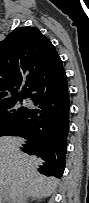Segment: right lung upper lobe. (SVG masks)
I'll use <instances>...</instances> for the list:
<instances>
[{"instance_id": "right-lung-upper-lobe-1", "label": "right lung upper lobe", "mask_w": 89, "mask_h": 203, "mask_svg": "<svg viewBox=\"0 0 89 203\" xmlns=\"http://www.w3.org/2000/svg\"><path fill=\"white\" fill-rule=\"evenodd\" d=\"M61 66L55 47L39 29H15L0 42V105L27 96L42 76Z\"/></svg>"}]
</instances>
